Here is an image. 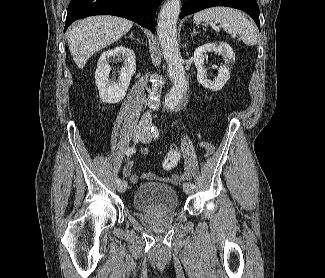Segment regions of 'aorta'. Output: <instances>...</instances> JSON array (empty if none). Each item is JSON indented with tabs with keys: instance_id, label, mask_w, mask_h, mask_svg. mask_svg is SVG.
I'll use <instances>...</instances> for the list:
<instances>
[{
	"instance_id": "obj_1",
	"label": "aorta",
	"mask_w": 325,
	"mask_h": 278,
	"mask_svg": "<svg viewBox=\"0 0 325 278\" xmlns=\"http://www.w3.org/2000/svg\"><path fill=\"white\" fill-rule=\"evenodd\" d=\"M181 10V0H167L162 6L157 22V35L165 61L168 65V73L173 80L165 105L174 109L181 103L188 83L185 69L177 41V20Z\"/></svg>"
}]
</instances>
